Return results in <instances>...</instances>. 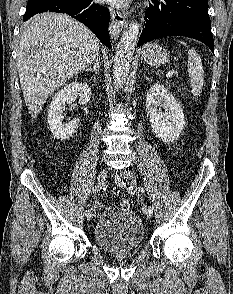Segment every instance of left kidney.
Returning <instances> with one entry per match:
<instances>
[{"label": "left kidney", "mask_w": 233, "mask_h": 294, "mask_svg": "<svg viewBox=\"0 0 233 294\" xmlns=\"http://www.w3.org/2000/svg\"><path fill=\"white\" fill-rule=\"evenodd\" d=\"M158 107L165 112L158 110ZM146 110L156 137L166 143L177 140L185 126L183 110L169 90L160 83L150 87Z\"/></svg>", "instance_id": "obj_1"}]
</instances>
